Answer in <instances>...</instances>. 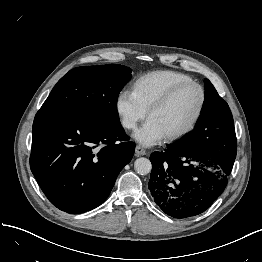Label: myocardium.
<instances>
[{
  "instance_id": "f54148a6",
  "label": "myocardium",
  "mask_w": 262,
  "mask_h": 262,
  "mask_svg": "<svg viewBox=\"0 0 262 262\" xmlns=\"http://www.w3.org/2000/svg\"><path fill=\"white\" fill-rule=\"evenodd\" d=\"M187 87H195L199 91L200 101L197 110L190 122L183 129L166 136V140L169 142H173L187 136L194 130V128L198 124L206 103V91L204 87L201 84L192 80L179 83L172 87L167 93H165L148 110V117L150 118L153 113L165 107L179 91Z\"/></svg>"
}]
</instances>
